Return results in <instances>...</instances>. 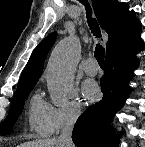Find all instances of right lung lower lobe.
<instances>
[{
    "mask_svg": "<svg viewBox=\"0 0 145 147\" xmlns=\"http://www.w3.org/2000/svg\"><path fill=\"white\" fill-rule=\"evenodd\" d=\"M140 29L141 25H138L107 51L106 69L100 79L104 96L78 118L72 132V140L78 147H116L117 142L109 127L130 93L124 82L131 79L138 66L135 54L144 46L140 40Z\"/></svg>",
    "mask_w": 145,
    "mask_h": 147,
    "instance_id": "1",
    "label": "right lung lower lobe"
}]
</instances>
